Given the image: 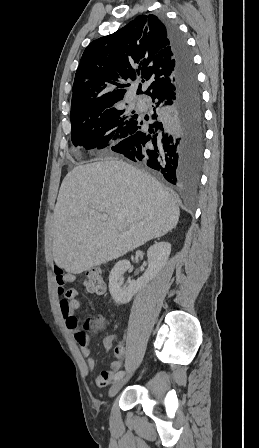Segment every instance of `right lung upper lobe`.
Instances as JSON below:
<instances>
[{
    "label": "right lung upper lobe",
    "mask_w": 259,
    "mask_h": 448,
    "mask_svg": "<svg viewBox=\"0 0 259 448\" xmlns=\"http://www.w3.org/2000/svg\"><path fill=\"white\" fill-rule=\"evenodd\" d=\"M174 61L166 26L142 14L85 49L75 74L71 114L112 107L123 100L126 80L143 78L148 88L137 94L156 96L173 87Z\"/></svg>",
    "instance_id": "1"
}]
</instances>
